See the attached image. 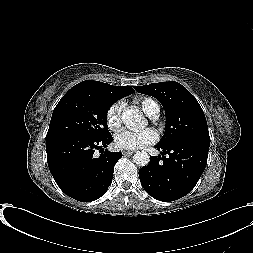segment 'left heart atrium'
I'll list each match as a JSON object with an SVG mask.
<instances>
[{"mask_svg":"<svg viewBox=\"0 0 253 253\" xmlns=\"http://www.w3.org/2000/svg\"><path fill=\"white\" fill-rule=\"evenodd\" d=\"M158 135L153 129L132 131L123 129L114 138V144L121 150H136L157 141Z\"/></svg>","mask_w":253,"mask_h":253,"instance_id":"left-heart-atrium-1","label":"left heart atrium"}]
</instances>
